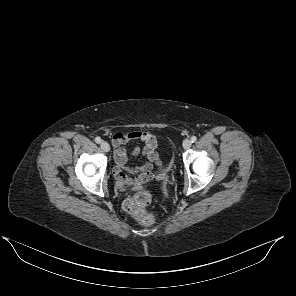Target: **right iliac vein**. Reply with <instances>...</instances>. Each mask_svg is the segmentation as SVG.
<instances>
[{
  "label": "right iliac vein",
  "mask_w": 296,
  "mask_h": 296,
  "mask_svg": "<svg viewBox=\"0 0 296 296\" xmlns=\"http://www.w3.org/2000/svg\"><path fill=\"white\" fill-rule=\"evenodd\" d=\"M100 146H101V148H102V150H103L104 152H109V150H110V145H109L106 141H102V142L100 143Z\"/></svg>",
  "instance_id": "1"
}]
</instances>
